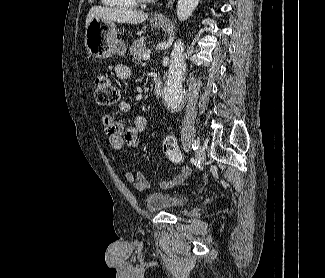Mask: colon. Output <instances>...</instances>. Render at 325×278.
I'll return each mask as SVG.
<instances>
[{"label": "colon", "mask_w": 325, "mask_h": 278, "mask_svg": "<svg viewBox=\"0 0 325 278\" xmlns=\"http://www.w3.org/2000/svg\"><path fill=\"white\" fill-rule=\"evenodd\" d=\"M93 96L95 102L101 107H110L120 99L118 87L106 76H97L94 82ZM165 155L173 164H181L183 156L173 136H166L162 141Z\"/></svg>", "instance_id": "colon-1"}]
</instances>
